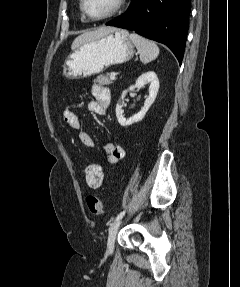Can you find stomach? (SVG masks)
<instances>
[{"instance_id":"1","label":"stomach","mask_w":240,"mask_h":287,"mask_svg":"<svg viewBox=\"0 0 240 287\" xmlns=\"http://www.w3.org/2000/svg\"><path fill=\"white\" fill-rule=\"evenodd\" d=\"M134 53L128 31L116 28L74 48L63 65V75L72 80L86 78L130 60Z\"/></svg>"}]
</instances>
